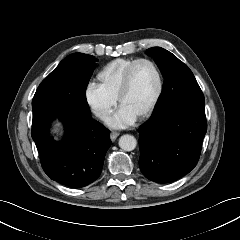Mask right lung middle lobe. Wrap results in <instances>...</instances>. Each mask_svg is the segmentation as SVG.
I'll return each instance as SVG.
<instances>
[{
  "mask_svg": "<svg viewBox=\"0 0 240 240\" xmlns=\"http://www.w3.org/2000/svg\"><path fill=\"white\" fill-rule=\"evenodd\" d=\"M96 61L98 60L94 56L83 53L67 56L41 82L32 106L53 102L89 109L85 91Z\"/></svg>",
  "mask_w": 240,
  "mask_h": 240,
  "instance_id": "right-lung-middle-lobe-1",
  "label": "right lung middle lobe"
}]
</instances>
